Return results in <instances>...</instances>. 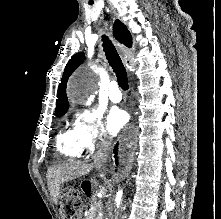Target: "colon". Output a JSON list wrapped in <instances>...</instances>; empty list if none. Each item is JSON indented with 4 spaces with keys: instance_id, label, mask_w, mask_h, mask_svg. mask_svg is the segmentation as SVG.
Returning a JSON list of instances; mask_svg holds the SVG:
<instances>
[{
    "instance_id": "5ec220e1",
    "label": "colon",
    "mask_w": 221,
    "mask_h": 219,
    "mask_svg": "<svg viewBox=\"0 0 221 219\" xmlns=\"http://www.w3.org/2000/svg\"><path fill=\"white\" fill-rule=\"evenodd\" d=\"M62 200L63 208L67 218H76L80 204L78 193L75 191H67L63 194Z\"/></svg>"
}]
</instances>
